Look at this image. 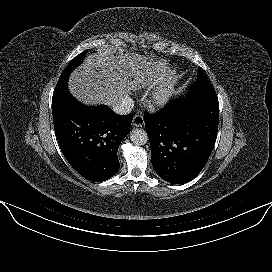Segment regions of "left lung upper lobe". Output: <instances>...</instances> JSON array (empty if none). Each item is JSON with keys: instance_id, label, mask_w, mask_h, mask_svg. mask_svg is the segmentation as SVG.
<instances>
[{"instance_id": "obj_1", "label": "left lung upper lobe", "mask_w": 272, "mask_h": 272, "mask_svg": "<svg viewBox=\"0 0 272 272\" xmlns=\"http://www.w3.org/2000/svg\"><path fill=\"white\" fill-rule=\"evenodd\" d=\"M214 91H215L214 87L205 76L203 70L199 68L198 74H197V80L190 87L186 96H193V95H198L201 93L214 92Z\"/></svg>"}]
</instances>
